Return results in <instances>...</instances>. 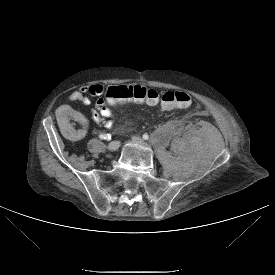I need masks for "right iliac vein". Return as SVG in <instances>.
Listing matches in <instances>:
<instances>
[{
	"label": "right iliac vein",
	"instance_id": "63e3f726",
	"mask_svg": "<svg viewBox=\"0 0 275 275\" xmlns=\"http://www.w3.org/2000/svg\"><path fill=\"white\" fill-rule=\"evenodd\" d=\"M119 146H120V143L118 141H112L111 143H109L107 149L110 152H115L118 150Z\"/></svg>",
	"mask_w": 275,
	"mask_h": 275
}]
</instances>
